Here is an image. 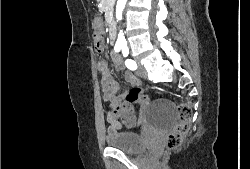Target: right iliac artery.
Segmentation results:
<instances>
[{
  "mask_svg": "<svg viewBox=\"0 0 250 169\" xmlns=\"http://www.w3.org/2000/svg\"><path fill=\"white\" fill-rule=\"evenodd\" d=\"M115 51H116V52H118V51H119V49L115 48Z\"/></svg>",
  "mask_w": 250,
  "mask_h": 169,
  "instance_id": "right-iliac-artery-1",
  "label": "right iliac artery"
}]
</instances>
